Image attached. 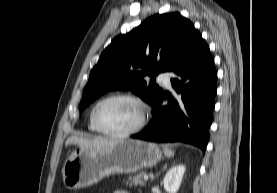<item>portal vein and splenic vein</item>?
<instances>
[{"mask_svg":"<svg viewBox=\"0 0 277 193\" xmlns=\"http://www.w3.org/2000/svg\"><path fill=\"white\" fill-rule=\"evenodd\" d=\"M148 178H149V177H148L147 175H144V176H143V179H144V180H148Z\"/></svg>","mask_w":277,"mask_h":193,"instance_id":"1","label":"portal vein and splenic vein"}]
</instances>
